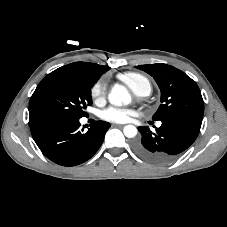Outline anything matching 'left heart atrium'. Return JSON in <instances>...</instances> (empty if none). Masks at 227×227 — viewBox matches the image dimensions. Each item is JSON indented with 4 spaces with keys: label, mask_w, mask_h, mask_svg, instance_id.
<instances>
[{
    "label": "left heart atrium",
    "mask_w": 227,
    "mask_h": 227,
    "mask_svg": "<svg viewBox=\"0 0 227 227\" xmlns=\"http://www.w3.org/2000/svg\"><path fill=\"white\" fill-rule=\"evenodd\" d=\"M133 115L132 109L122 107H109L102 112V118L112 123H125Z\"/></svg>",
    "instance_id": "obj_1"
}]
</instances>
